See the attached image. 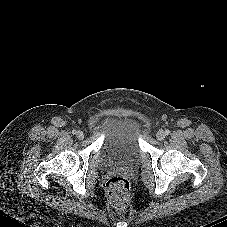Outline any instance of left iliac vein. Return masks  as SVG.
I'll return each mask as SVG.
<instances>
[{"label": "left iliac vein", "instance_id": "left-iliac-vein-1", "mask_svg": "<svg viewBox=\"0 0 227 227\" xmlns=\"http://www.w3.org/2000/svg\"><path fill=\"white\" fill-rule=\"evenodd\" d=\"M166 136V133L163 131V130H159L157 133H156V138L158 140H163Z\"/></svg>", "mask_w": 227, "mask_h": 227}]
</instances>
